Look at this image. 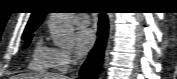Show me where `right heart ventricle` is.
<instances>
[{"instance_id":"obj_1","label":"right heart ventricle","mask_w":177,"mask_h":79,"mask_svg":"<svg viewBox=\"0 0 177 79\" xmlns=\"http://www.w3.org/2000/svg\"><path fill=\"white\" fill-rule=\"evenodd\" d=\"M29 68L36 72H48L52 69V48L44 46L42 41L38 40L32 51Z\"/></svg>"}]
</instances>
